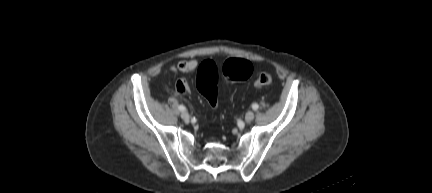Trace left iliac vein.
I'll use <instances>...</instances> for the list:
<instances>
[{
  "instance_id": "1",
  "label": "left iliac vein",
  "mask_w": 432,
  "mask_h": 193,
  "mask_svg": "<svg viewBox=\"0 0 432 193\" xmlns=\"http://www.w3.org/2000/svg\"><path fill=\"white\" fill-rule=\"evenodd\" d=\"M254 117H255L254 112H253V111H248V112L246 113V115H245V120H246L247 122H251V121L254 119Z\"/></svg>"
}]
</instances>
